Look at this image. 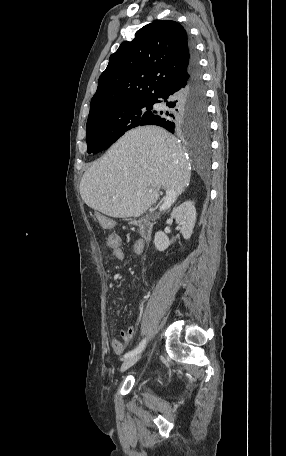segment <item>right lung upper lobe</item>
<instances>
[{"label":"right lung upper lobe","mask_w":286,"mask_h":456,"mask_svg":"<svg viewBox=\"0 0 286 456\" xmlns=\"http://www.w3.org/2000/svg\"><path fill=\"white\" fill-rule=\"evenodd\" d=\"M191 58L192 46L182 25L171 20L145 25L110 56L88 119L115 104L155 100L185 77Z\"/></svg>","instance_id":"cb5924a9"}]
</instances>
